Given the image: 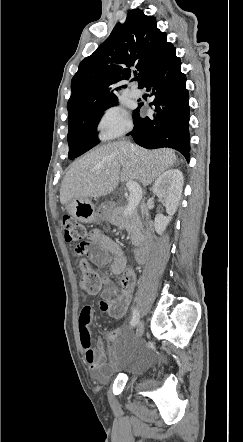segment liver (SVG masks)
Here are the masks:
<instances>
[{
  "label": "liver",
  "mask_w": 243,
  "mask_h": 442,
  "mask_svg": "<svg viewBox=\"0 0 243 442\" xmlns=\"http://www.w3.org/2000/svg\"><path fill=\"white\" fill-rule=\"evenodd\" d=\"M176 161L171 149L147 150L127 141L102 145L72 164L60 188L61 204L105 196L119 181L150 185Z\"/></svg>",
  "instance_id": "liver-1"
}]
</instances>
